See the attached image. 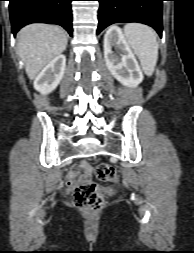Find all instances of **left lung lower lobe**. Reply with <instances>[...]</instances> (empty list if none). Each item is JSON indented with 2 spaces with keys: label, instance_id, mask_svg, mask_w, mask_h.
<instances>
[{
  "label": "left lung lower lobe",
  "instance_id": "left-lung-lower-lobe-1",
  "mask_svg": "<svg viewBox=\"0 0 194 253\" xmlns=\"http://www.w3.org/2000/svg\"><path fill=\"white\" fill-rule=\"evenodd\" d=\"M97 34L113 23L139 22L153 27L162 37V2L164 0H97Z\"/></svg>",
  "mask_w": 194,
  "mask_h": 253
}]
</instances>
